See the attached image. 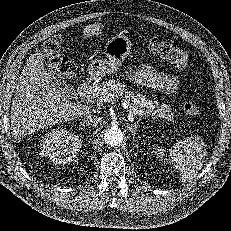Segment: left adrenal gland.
I'll return each instance as SVG.
<instances>
[{
	"label": "left adrenal gland",
	"instance_id": "1",
	"mask_svg": "<svg viewBox=\"0 0 231 231\" xmlns=\"http://www.w3.org/2000/svg\"><path fill=\"white\" fill-rule=\"evenodd\" d=\"M141 121V118H139V120H137L136 122H134V125H130V124H127V128L130 130V132L132 133V136L133 138L135 137L136 135V132H137V129H138V124L139 122Z\"/></svg>",
	"mask_w": 231,
	"mask_h": 231
}]
</instances>
